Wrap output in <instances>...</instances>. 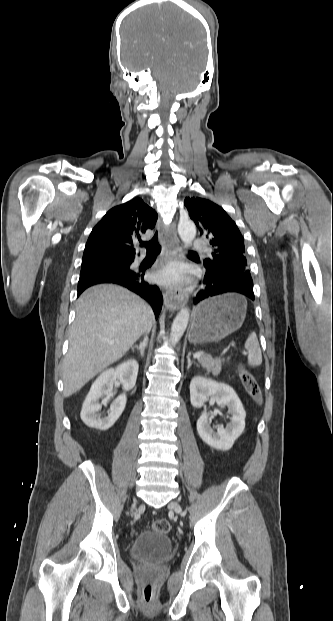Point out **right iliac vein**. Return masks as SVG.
<instances>
[{"instance_id":"63e3f726","label":"right iliac vein","mask_w":333,"mask_h":621,"mask_svg":"<svg viewBox=\"0 0 333 621\" xmlns=\"http://www.w3.org/2000/svg\"><path fill=\"white\" fill-rule=\"evenodd\" d=\"M135 507H136V502L133 504V507H132V512H133V510L135 509Z\"/></svg>"}]
</instances>
